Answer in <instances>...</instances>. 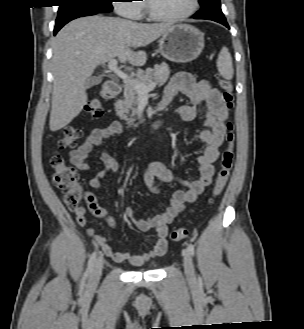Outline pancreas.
Listing matches in <instances>:
<instances>
[{
    "label": "pancreas",
    "mask_w": 304,
    "mask_h": 329,
    "mask_svg": "<svg viewBox=\"0 0 304 329\" xmlns=\"http://www.w3.org/2000/svg\"><path fill=\"white\" fill-rule=\"evenodd\" d=\"M169 75L170 69L168 64L162 63L161 65H155L154 68H148L144 72L139 73L136 81L143 85H149L152 82L163 85L167 82ZM123 87V99L117 100L114 106L117 116L121 120L126 121L128 125H132L135 121L134 117L137 115L139 94L135 87L129 83H125Z\"/></svg>",
    "instance_id": "cf45deb5"
}]
</instances>
